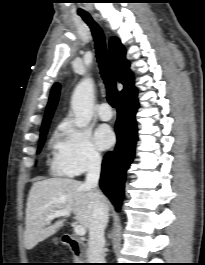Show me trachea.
<instances>
[{
	"label": "trachea",
	"instance_id": "obj_1",
	"mask_svg": "<svg viewBox=\"0 0 205 265\" xmlns=\"http://www.w3.org/2000/svg\"><path fill=\"white\" fill-rule=\"evenodd\" d=\"M80 15L92 31L95 41L97 62L99 64L100 73L107 89V99L109 104L115 108L117 105L118 90L116 87L113 68L107 54L103 31L89 14L84 13Z\"/></svg>",
	"mask_w": 205,
	"mask_h": 265
}]
</instances>
